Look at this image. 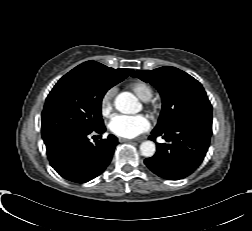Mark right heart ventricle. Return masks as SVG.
<instances>
[{
  "label": "right heart ventricle",
  "mask_w": 252,
  "mask_h": 231,
  "mask_svg": "<svg viewBox=\"0 0 252 231\" xmlns=\"http://www.w3.org/2000/svg\"><path fill=\"white\" fill-rule=\"evenodd\" d=\"M130 88L143 101H148L153 96L152 88L145 82H133L130 84Z\"/></svg>",
  "instance_id": "1"
}]
</instances>
